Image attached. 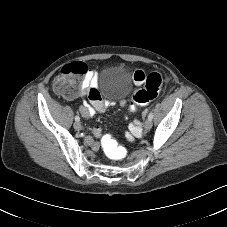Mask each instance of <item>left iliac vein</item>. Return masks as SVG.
Wrapping results in <instances>:
<instances>
[{
  "label": "left iliac vein",
  "instance_id": "left-iliac-vein-1",
  "mask_svg": "<svg viewBox=\"0 0 227 227\" xmlns=\"http://www.w3.org/2000/svg\"><path fill=\"white\" fill-rule=\"evenodd\" d=\"M145 131H149L152 127V121L147 119L143 125Z\"/></svg>",
  "mask_w": 227,
  "mask_h": 227
}]
</instances>
